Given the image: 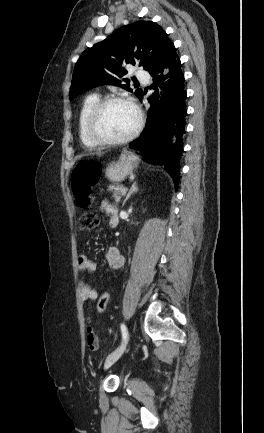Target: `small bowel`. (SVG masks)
<instances>
[{"instance_id":"obj_1","label":"small bowel","mask_w":264,"mask_h":433,"mask_svg":"<svg viewBox=\"0 0 264 433\" xmlns=\"http://www.w3.org/2000/svg\"><path fill=\"white\" fill-rule=\"evenodd\" d=\"M100 209L108 214L109 224L115 227L118 223L117 209L107 200H103ZM108 266L115 270H120L124 267L125 258L116 246L110 247L105 255ZM78 268L81 271L93 272L96 269L95 263L85 254H80L77 259ZM80 296L85 306L86 313L91 311V303L97 299L98 293L96 289L85 282L80 283ZM87 346L90 350H96L99 346V338L93 329L89 326L86 334Z\"/></svg>"}]
</instances>
